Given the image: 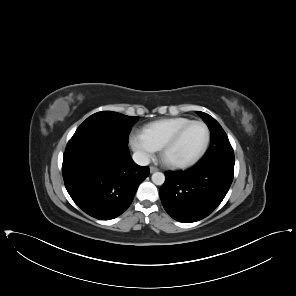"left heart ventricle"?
Returning a JSON list of instances; mask_svg holds the SVG:
<instances>
[{
    "instance_id": "left-heart-ventricle-1",
    "label": "left heart ventricle",
    "mask_w": 296,
    "mask_h": 296,
    "mask_svg": "<svg viewBox=\"0 0 296 296\" xmlns=\"http://www.w3.org/2000/svg\"><path fill=\"white\" fill-rule=\"evenodd\" d=\"M205 129L198 124L188 127L172 145L167 153L168 161H183L194 157L202 148L205 141Z\"/></svg>"
}]
</instances>
